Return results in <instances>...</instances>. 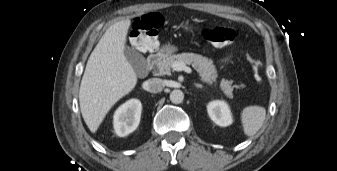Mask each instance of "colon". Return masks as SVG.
I'll use <instances>...</instances> for the list:
<instances>
[{"label":"colon","mask_w":337,"mask_h":171,"mask_svg":"<svg viewBox=\"0 0 337 171\" xmlns=\"http://www.w3.org/2000/svg\"><path fill=\"white\" fill-rule=\"evenodd\" d=\"M163 23L162 17L158 14H147L137 17L132 24V37L134 45L141 50L154 49L157 42V30ZM205 40L215 46H226L236 39V32L226 27H206L202 31ZM251 64L253 79L260 84L262 78V63L252 54H248Z\"/></svg>","instance_id":"colon-1"}]
</instances>
